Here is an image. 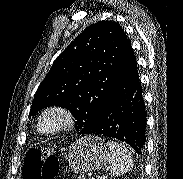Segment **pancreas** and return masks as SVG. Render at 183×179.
I'll use <instances>...</instances> for the list:
<instances>
[{"label":"pancreas","instance_id":"cf45deb5","mask_svg":"<svg viewBox=\"0 0 183 179\" xmlns=\"http://www.w3.org/2000/svg\"><path fill=\"white\" fill-rule=\"evenodd\" d=\"M77 179H86L85 176H79Z\"/></svg>","mask_w":183,"mask_h":179}]
</instances>
